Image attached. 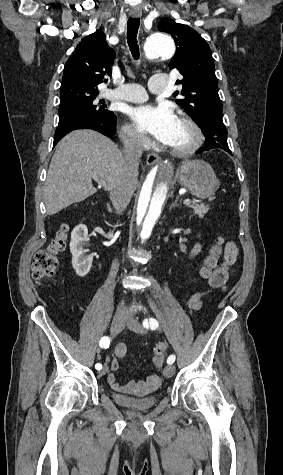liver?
Segmentation results:
<instances>
[{
	"label": "liver",
	"mask_w": 283,
	"mask_h": 475,
	"mask_svg": "<svg viewBox=\"0 0 283 475\" xmlns=\"http://www.w3.org/2000/svg\"><path fill=\"white\" fill-rule=\"evenodd\" d=\"M123 154L112 140L94 130H75L56 146L45 182L47 216H53L75 202L96 194L93 176L106 182L111 190L124 170ZM134 190L137 176L133 178Z\"/></svg>",
	"instance_id": "obj_1"
}]
</instances>
